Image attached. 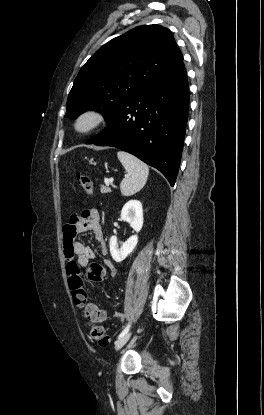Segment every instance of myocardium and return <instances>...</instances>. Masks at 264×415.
Masks as SVG:
<instances>
[{"instance_id":"1","label":"myocardium","mask_w":264,"mask_h":415,"mask_svg":"<svg viewBox=\"0 0 264 415\" xmlns=\"http://www.w3.org/2000/svg\"><path fill=\"white\" fill-rule=\"evenodd\" d=\"M108 121L106 113L97 109H86L79 113L73 122L74 130L88 135L101 128Z\"/></svg>"}]
</instances>
